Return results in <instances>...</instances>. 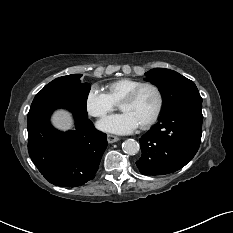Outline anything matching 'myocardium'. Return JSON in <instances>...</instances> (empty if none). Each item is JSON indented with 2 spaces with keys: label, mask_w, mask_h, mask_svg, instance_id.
<instances>
[{
  "label": "myocardium",
  "mask_w": 233,
  "mask_h": 233,
  "mask_svg": "<svg viewBox=\"0 0 233 233\" xmlns=\"http://www.w3.org/2000/svg\"><path fill=\"white\" fill-rule=\"evenodd\" d=\"M145 87H151L156 91L157 97H158V104H157V108L155 112L153 113V115L146 122L141 124V128H144V129L152 126L157 121V119L159 118L162 112L164 99H163L162 91L159 88V86L151 82L141 83L140 85L132 89L120 102V105H122L124 103L133 101L137 97L138 93Z\"/></svg>",
  "instance_id": "myocardium-1"
}]
</instances>
